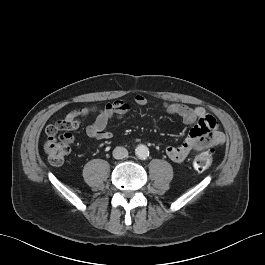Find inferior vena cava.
Listing matches in <instances>:
<instances>
[{"label":"inferior vena cava","instance_id":"1","mask_svg":"<svg viewBox=\"0 0 265 265\" xmlns=\"http://www.w3.org/2000/svg\"><path fill=\"white\" fill-rule=\"evenodd\" d=\"M128 156V151L126 148L118 146L113 150V157L115 159H123Z\"/></svg>","mask_w":265,"mask_h":265}]
</instances>
